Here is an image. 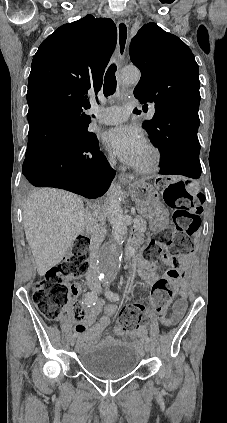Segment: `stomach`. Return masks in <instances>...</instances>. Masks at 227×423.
Returning a JSON list of instances; mask_svg holds the SVG:
<instances>
[{
  "mask_svg": "<svg viewBox=\"0 0 227 423\" xmlns=\"http://www.w3.org/2000/svg\"><path fill=\"white\" fill-rule=\"evenodd\" d=\"M123 182H127V180H123ZM128 192L131 198L135 200L137 210L143 213V215H148L149 211L154 208L159 200L157 190H155L152 184L145 182V180H139V182L130 184Z\"/></svg>",
  "mask_w": 227,
  "mask_h": 423,
  "instance_id": "stomach-1",
  "label": "stomach"
}]
</instances>
